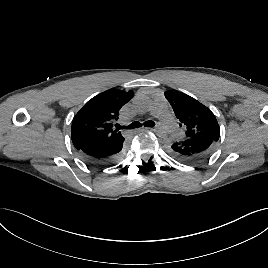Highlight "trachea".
Returning <instances> with one entry per match:
<instances>
[{
  "label": "trachea",
  "instance_id": "obj_1",
  "mask_svg": "<svg viewBox=\"0 0 268 268\" xmlns=\"http://www.w3.org/2000/svg\"><path fill=\"white\" fill-rule=\"evenodd\" d=\"M142 125L147 126V127H154L155 126V123L153 121H146L143 124H141L140 122L135 121V122L131 123L130 125H128L127 127L120 126L119 124H117L116 127L118 129H135V128L141 127Z\"/></svg>",
  "mask_w": 268,
  "mask_h": 268
}]
</instances>
